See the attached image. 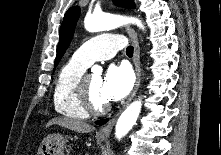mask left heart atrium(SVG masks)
Segmentation results:
<instances>
[{"mask_svg":"<svg viewBox=\"0 0 221 155\" xmlns=\"http://www.w3.org/2000/svg\"><path fill=\"white\" fill-rule=\"evenodd\" d=\"M133 75L124 64L111 65L102 78V93L107 101L123 99L131 90Z\"/></svg>","mask_w":221,"mask_h":155,"instance_id":"obj_1","label":"left heart atrium"}]
</instances>
